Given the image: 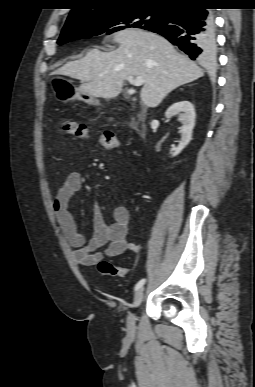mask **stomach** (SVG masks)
<instances>
[{
	"mask_svg": "<svg viewBox=\"0 0 255 387\" xmlns=\"http://www.w3.org/2000/svg\"><path fill=\"white\" fill-rule=\"evenodd\" d=\"M55 96L60 101L66 102L68 100L78 98L86 103L92 105H99V101L86 93L79 92L70 86L69 80H56L55 81Z\"/></svg>",
	"mask_w": 255,
	"mask_h": 387,
	"instance_id": "1",
	"label": "stomach"
}]
</instances>
